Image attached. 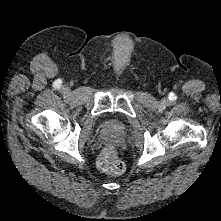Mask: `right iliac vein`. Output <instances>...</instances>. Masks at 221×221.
<instances>
[{
	"label": "right iliac vein",
	"mask_w": 221,
	"mask_h": 221,
	"mask_svg": "<svg viewBox=\"0 0 221 221\" xmlns=\"http://www.w3.org/2000/svg\"><path fill=\"white\" fill-rule=\"evenodd\" d=\"M63 91H67V89H66V88H63Z\"/></svg>",
	"instance_id": "1"
}]
</instances>
